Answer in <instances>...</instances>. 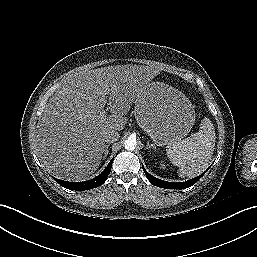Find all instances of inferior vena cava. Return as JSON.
I'll return each mask as SVG.
<instances>
[{
    "mask_svg": "<svg viewBox=\"0 0 257 257\" xmlns=\"http://www.w3.org/2000/svg\"><path fill=\"white\" fill-rule=\"evenodd\" d=\"M119 133L114 131H105L103 133V138L106 143H113L119 139Z\"/></svg>",
    "mask_w": 257,
    "mask_h": 257,
    "instance_id": "1",
    "label": "inferior vena cava"
}]
</instances>
